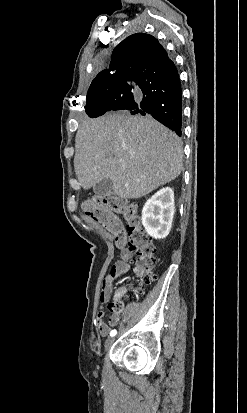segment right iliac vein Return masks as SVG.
Returning <instances> with one entry per match:
<instances>
[{
	"mask_svg": "<svg viewBox=\"0 0 247 413\" xmlns=\"http://www.w3.org/2000/svg\"><path fill=\"white\" fill-rule=\"evenodd\" d=\"M115 339L114 338H110L105 342V350H108L112 344L114 343Z\"/></svg>",
	"mask_w": 247,
	"mask_h": 413,
	"instance_id": "63e3f726",
	"label": "right iliac vein"
}]
</instances>
